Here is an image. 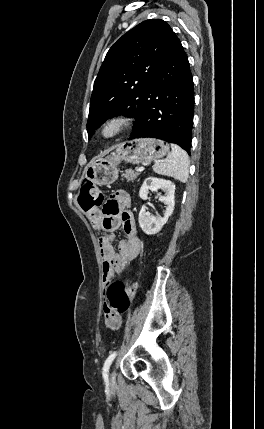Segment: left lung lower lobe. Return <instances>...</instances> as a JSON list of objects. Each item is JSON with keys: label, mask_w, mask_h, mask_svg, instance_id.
I'll return each instance as SVG.
<instances>
[{"label": "left lung lower lobe", "mask_w": 264, "mask_h": 429, "mask_svg": "<svg viewBox=\"0 0 264 429\" xmlns=\"http://www.w3.org/2000/svg\"><path fill=\"white\" fill-rule=\"evenodd\" d=\"M193 109L194 88L188 57L172 32L129 140L158 138L178 144L190 153Z\"/></svg>", "instance_id": "left-lung-lower-lobe-1"}]
</instances>
